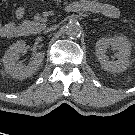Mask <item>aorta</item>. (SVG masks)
Instances as JSON below:
<instances>
[{"instance_id": "762f6f07", "label": "aorta", "mask_w": 135, "mask_h": 135, "mask_svg": "<svg viewBox=\"0 0 135 135\" xmlns=\"http://www.w3.org/2000/svg\"><path fill=\"white\" fill-rule=\"evenodd\" d=\"M65 31H66L67 36H69L70 38H76L80 36L82 28L78 22L70 21L65 26Z\"/></svg>"}]
</instances>
